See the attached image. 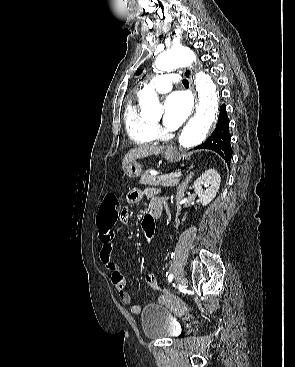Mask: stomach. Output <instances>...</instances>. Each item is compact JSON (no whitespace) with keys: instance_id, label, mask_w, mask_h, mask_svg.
Instances as JSON below:
<instances>
[{"instance_id":"0dacf381","label":"stomach","mask_w":295,"mask_h":367,"mask_svg":"<svg viewBox=\"0 0 295 367\" xmlns=\"http://www.w3.org/2000/svg\"><path fill=\"white\" fill-rule=\"evenodd\" d=\"M164 156L169 161H177L180 159V156L175 151H166L164 153ZM125 174L130 178H137L142 173V167L138 162H131L129 163L125 169Z\"/></svg>"}]
</instances>
